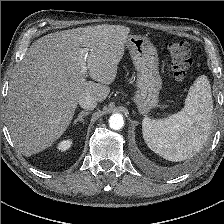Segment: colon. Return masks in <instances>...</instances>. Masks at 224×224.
I'll list each match as a JSON object with an SVG mask.
<instances>
[{
  "label": "colon",
  "mask_w": 224,
  "mask_h": 224,
  "mask_svg": "<svg viewBox=\"0 0 224 224\" xmlns=\"http://www.w3.org/2000/svg\"><path fill=\"white\" fill-rule=\"evenodd\" d=\"M165 48L170 55V67L174 78L177 81L184 80L192 66L188 43L184 41H170L166 43Z\"/></svg>",
  "instance_id": "obj_1"
}]
</instances>
